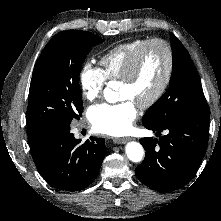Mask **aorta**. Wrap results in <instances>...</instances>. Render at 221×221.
Returning <instances> with one entry per match:
<instances>
[{"label": "aorta", "instance_id": "aorta-1", "mask_svg": "<svg viewBox=\"0 0 221 221\" xmlns=\"http://www.w3.org/2000/svg\"><path fill=\"white\" fill-rule=\"evenodd\" d=\"M111 89L106 88L104 91V96L106 99L108 98V92H110ZM125 152L129 160L132 162H140L143 159L144 156V149L142 145L138 142L132 141L126 144L125 146Z\"/></svg>", "mask_w": 221, "mask_h": 221}]
</instances>
